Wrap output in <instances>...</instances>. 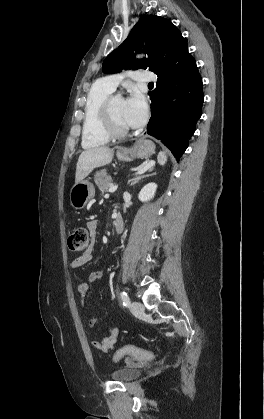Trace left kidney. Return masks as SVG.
<instances>
[{"label":"left kidney","mask_w":264,"mask_h":419,"mask_svg":"<svg viewBox=\"0 0 264 419\" xmlns=\"http://www.w3.org/2000/svg\"><path fill=\"white\" fill-rule=\"evenodd\" d=\"M157 185L155 183L146 184L140 191L138 198L141 202H146L155 196Z\"/></svg>","instance_id":"obj_1"}]
</instances>
